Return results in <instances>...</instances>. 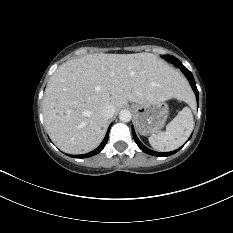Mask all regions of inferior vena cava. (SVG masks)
I'll list each match as a JSON object with an SVG mask.
<instances>
[{
    "label": "inferior vena cava",
    "mask_w": 233,
    "mask_h": 233,
    "mask_svg": "<svg viewBox=\"0 0 233 233\" xmlns=\"http://www.w3.org/2000/svg\"><path fill=\"white\" fill-rule=\"evenodd\" d=\"M101 114L103 117L109 119L115 114V107L112 104H106L101 109Z\"/></svg>",
    "instance_id": "inferior-vena-cava-1"
}]
</instances>
